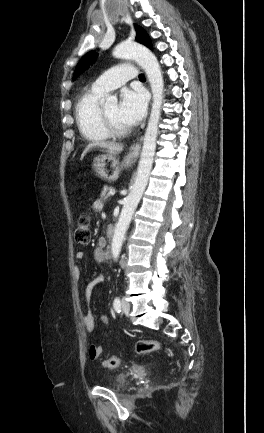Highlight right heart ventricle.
Here are the masks:
<instances>
[{
    "mask_svg": "<svg viewBox=\"0 0 264 433\" xmlns=\"http://www.w3.org/2000/svg\"><path fill=\"white\" fill-rule=\"evenodd\" d=\"M104 93L93 88L84 91L75 105V119L81 135L88 141L99 142L111 135L104 126L100 100Z\"/></svg>",
    "mask_w": 264,
    "mask_h": 433,
    "instance_id": "e07e8e85",
    "label": "right heart ventricle"
}]
</instances>
